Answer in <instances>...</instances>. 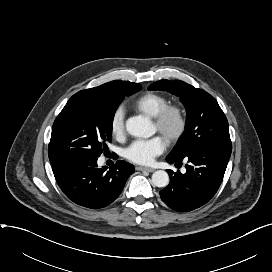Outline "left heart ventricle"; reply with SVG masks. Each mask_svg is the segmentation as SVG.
Listing matches in <instances>:
<instances>
[{"label":"left heart ventricle","instance_id":"1","mask_svg":"<svg viewBox=\"0 0 272 272\" xmlns=\"http://www.w3.org/2000/svg\"><path fill=\"white\" fill-rule=\"evenodd\" d=\"M174 127H175V122L173 120H171L170 123L168 124V129L172 130ZM155 129H156V127H155Z\"/></svg>","mask_w":272,"mask_h":272}]
</instances>
